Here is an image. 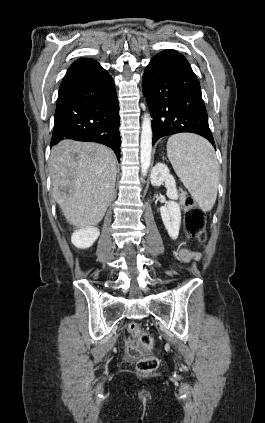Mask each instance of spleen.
<instances>
[{
    "mask_svg": "<svg viewBox=\"0 0 265 423\" xmlns=\"http://www.w3.org/2000/svg\"><path fill=\"white\" fill-rule=\"evenodd\" d=\"M167 156L174 171L203 211H210L217 198L219 165L212 145L190 133L171 136Z\"/></svg>",
    "mask_w": 265,
    "mask_h": 423,
    "instance_id": "1",
    "label": "spleen"
}]
</instances>
